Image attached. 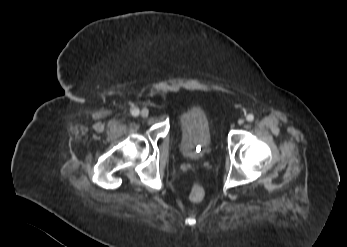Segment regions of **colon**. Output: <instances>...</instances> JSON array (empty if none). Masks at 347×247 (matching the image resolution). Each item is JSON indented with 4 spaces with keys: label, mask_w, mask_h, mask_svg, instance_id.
<instances>
[{
    "label": "colon",
    "mask_w": 347,
    "mask_h": 247,
    "mask_svg": "<svg viewBox=\"0 0 347 247\" xmlns=\"http://www.w3.org/2000/svg\"><path fill=\"white\" fill-rule=\"evenodd\" d=\"M204 196L205 190L203 186L199 183L193 184L189 192L190 200L193 202H200L204 199Z\"/></svg>",
    "instance_id": "obj_1"
}]
</instances>
